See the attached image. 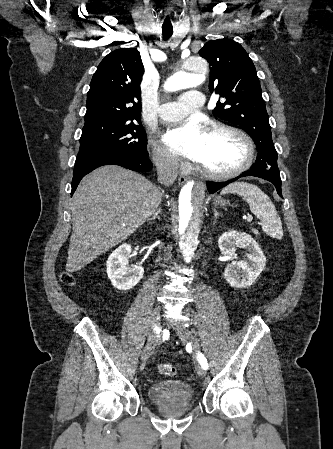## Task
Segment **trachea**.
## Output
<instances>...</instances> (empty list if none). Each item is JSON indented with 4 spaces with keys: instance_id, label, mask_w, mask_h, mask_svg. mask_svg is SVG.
I'll list each match as a JSON object with an SVG mask.
<instances>
[{
    "instance_id": "trachea-1",
    "label": "trachea",
    "mask_w": 333,
    "mask_h": 449,
    "mask_svg": "<svg viewBox=\"0 0 333 449\" xmlns=\"http://www.w3.org/2000/svg\"><path fill=\"white\" fill-rule=\"evenodd\" d=\"M163 39L168 40L173 35V28L171 27H162Z\"/></svg>"
}]
</instances>
